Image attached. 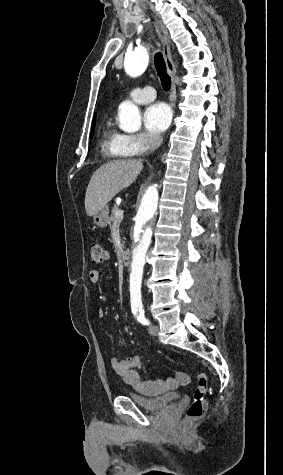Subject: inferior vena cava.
I'll use <instances>...</instances> for the list:
<instances>
[{"instance_id": "1", "label": "inferior vena cava", "mask_w": 283, "mask_h": 475, "mask_svg": "<svg viewBox=\"0 0 283 475\" xmlns=\"http://www.w3.org/2000/svg\"><path fill=\"white\" fill-rule=\"evenodd\" d=\"M148 140L150 152H154V150H157V148L163 144V136L157 134V132H150Z\"/></svg>"}]
</instances>
